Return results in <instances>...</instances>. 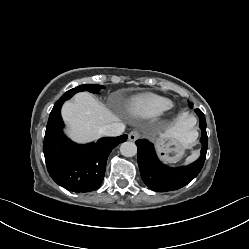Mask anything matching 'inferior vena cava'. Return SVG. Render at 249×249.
<instances>
[{
    "instance_id": "602c4592",
    "label": "inferior vena cava",
    "mask_w": 249,
    "mask_h": 249,
    "mask_svg": "<svg viewBox=\"0 0 249 249\" xmlns=\"http://www.w3.org/2000/svg\"><path fill=\"white\" fill-rule=\"evenodd\" d=\"M124 130H125V125L123 123L115 122L103 126L100 129V133L108 137H116L120 136L124 132Z\"/></svg>"
}]
</instances>
